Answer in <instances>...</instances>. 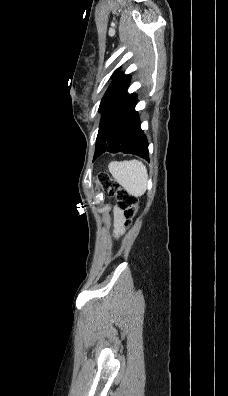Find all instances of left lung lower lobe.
<instances>
[{
  "mask_svg": "<svg viewBox=\"0 0 228 396\" xmlns=\"http://www.w3.org/2000/svg\"><path fill=\"white\" fill-rule=\"evenodd\" d=\"M137 96L124 92L101 118L94 160L106 151L129 153L149 160L148 142L135 111Z\"/></svg>",
  "mask_w": 228,
  "mask_h": 396,
  "instance_id": "obj_1",
  "label": "left lung lower lobe"
}]
</instances>
